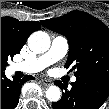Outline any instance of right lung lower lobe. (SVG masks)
<instances>
[{
	"instance_id": "obj_1",
	"label": "right lung lower lobe",
	"mask_w": 109,
	"mask_h": 109,
	"mask_svg": "<svg viewBox=\"0 0 109 109\" xmlns=\"http://www.w3.org/2000/svg\"><path fill=\"white\" fill-rule=\"evenodd\" d=\"M33 79L26 75L23 79H8L4 72H1V109H14L19 101L21 86L25 81Z\"/></svg>"
}]
</instances>
